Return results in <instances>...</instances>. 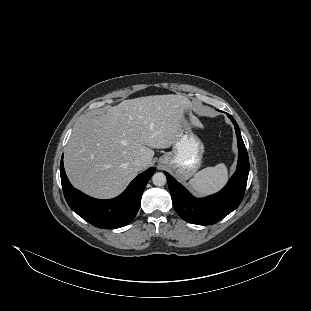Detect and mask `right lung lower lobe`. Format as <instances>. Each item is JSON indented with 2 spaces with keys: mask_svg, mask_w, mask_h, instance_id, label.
<instances>
[{
  "mask_svg": "<svg viewBox=\"0 0 311 311\" xmlns=\"http://www.w3.org/2000/svg\"><path fill=\"white\" fill-rule=\"evenodd\" d=\"M154 172L152 167L138 175L118 197L98 200L75 189L66 176L63 156L60 163L61 183L68 205L84 220L103 229L120 228L133 220L140 207L142 193Z\"/></svg>",
  "mask_w": 311,
  "mask_h": 311,
  "instance_id": "1",
  "label": "right lung lower lobe"
}]
</instances>
